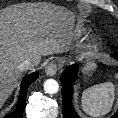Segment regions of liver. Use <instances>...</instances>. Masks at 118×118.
Listing matches in <instances>:
<instances>
[{"label":"liver","mask_w":118,"mask_h":118,"mask_svg":"<svg viewBox=\"0 0 118 118\" xmlns=\"http://www.w3.org/2000/svg\"><path fill=\"white\" fill-rule=\"evenodd\" d=\"M71 15L46 4H24L0 13V107L13 91L22 70L18 65L31 58L64 52Z\"/></svg>","instance_id":"6515ba94"}]
</instances>
